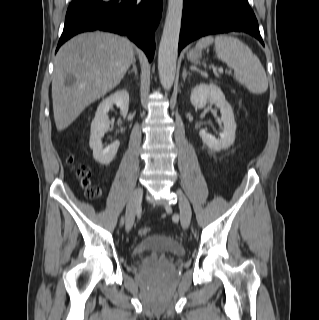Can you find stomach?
<instances>
[{"mask_svg": "<svg viewBox=\"0 0 319 320\" xmlns=\"http://www.w3.org/2000/svg\"><path fill=\"white\" fill-rule=\"evenodd\" d=\"M202 57V53H201V50H190L188 53H187V58L189 61L193 62V63H197L199 62V60L201 59Z\"/></svg>", "mask_w": 319, "mask_h": 320, "instance_id": "0dacf381", "label": "stomach"}]
</instances>
